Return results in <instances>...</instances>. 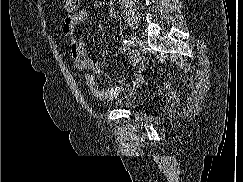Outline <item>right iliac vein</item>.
<instances>
[{"label":"right iliac vein","mask_w":243,"mask_h":182,"mask_svg":"<svg viewBox=\"0 0 243 182\" xmlns=\"http://www.w3.org/2000/svg\"><path fill=\"white\" fill-rule=\"evenodd\" d=\"M129 38L132 42H138V40H139V38L134 34H130Z\"/></svg>","instance_id":"1"}]
</instances>
